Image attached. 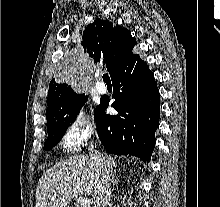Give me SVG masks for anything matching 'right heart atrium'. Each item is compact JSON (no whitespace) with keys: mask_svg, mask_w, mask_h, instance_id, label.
<instances>
[{"mask_svg":"<svg viewBox=\"0 0 220 207\" xmlns=\"http://www.w3.org/2000/svg\"><path fill=\"white\" fill-rule=\"evenodd\" d=\"M94 135L95 128L89 117L83 112L76 111L65 125L61 146L66 151H76L86 145Z\"/></svg>","mask_w":220,"mask_h":207,"instance_id":"1","label":"right heart atrium"}]
</instances>
